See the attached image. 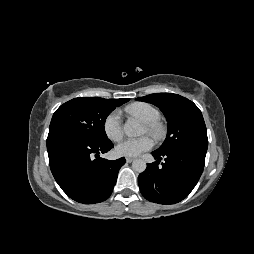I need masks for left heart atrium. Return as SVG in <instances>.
Listing matches in <instances>:
<instances>
[{
	"label": "left heart atrium",
	"instance_id": "1",
	"mask_svg": "<svg viewBox=\"0 0 254 254\" xmlns=\"http://www.w3.org/2000/svg\"><path fill=\"white\" fill-rule=\"evenodd\" d=\"M153 140L148 136L127 138L118 144L116 152L121 156H138L151 149Z\"/></svg>",
	"mask_w": 254,
	"mask_h": 254
}]
</instances>
